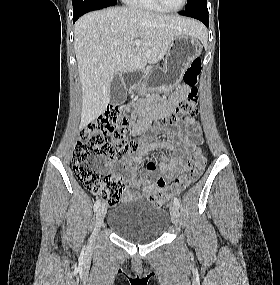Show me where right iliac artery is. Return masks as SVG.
<instances>
[{
  "label": "right iliac artery",
  "instance_id": "right-iliac-artery-1",
  "mask_svg": "<svg viewBox=\"0 0 280 285\" xmlns=\"http://www.w3.org/2000/svg\"><path fill=\"white\" fill-rule=\"evenodd\" d=\"M100 203H101V200L100 199H97L95 204H94V211H97V209L99 208L100 206Z\"/></svg>",
  "mask_w": 280,
  "mask_h": 285
}]
</instances>
